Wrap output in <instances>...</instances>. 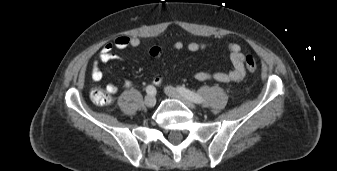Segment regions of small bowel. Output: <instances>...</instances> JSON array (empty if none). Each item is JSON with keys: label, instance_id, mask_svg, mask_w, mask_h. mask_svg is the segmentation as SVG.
Masks as SVG:
<instances>
[{"label": "small bowel", "instance_id": "small-bowel-1", "mask_svg": "<svg viewBox=\"0 0 337 171\" xmlns=\"http://www.w3.org/2000/svg\"><path fill=\"white\" fill-rule=\"evenodd\" d=\"M141 44V41L136 36H126L119 35L113 42H109L103 46L101 49L97 60L94 62L91 77L94 81L99 82L103 79V72L99 67L100 63H107L119 58L115 53V50H124L127 48H137ZM213 45L211 43H200V42H190L187 45L189 51L196 52L200 50L210 49ZM227 50L230 54V61L232 63V69L229 71H218V72H208V71H198L195 74V79L204 82L208 80H216L218 82L229 83V82H239L246 75L245 69V55L243 53L242 47L234 42H229L226 45ZM175 50H182L184 48V43L182 41H176L173 44ZM149 53L153 58H159L162 54V49L159 46H152L149 49ZM164 80V76L161 73H157L153 77V84L155 86H160ZM133 83L131 81H126L125 86L131 87ZM106 92L109 94H116L118 87L115 84H108L105 88Z\"/></svg>", "mask_w": 337, "mask_h": 171}]
</instances>
